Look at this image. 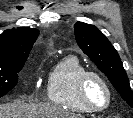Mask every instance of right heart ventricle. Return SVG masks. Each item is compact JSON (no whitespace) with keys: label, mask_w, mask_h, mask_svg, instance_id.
Returning <instances> with one entry per match:
<instances>
[{"label":"right heart ventricle","mask_w":133,"mask_h":118,"mask_svg":"<svg viewBox=\"0 0 133 118\" xmlns=\"http://www.w3.org/2000/svg\"><path fill=\"white\" fill-rule=\"evenodd\" d=\"M86 71V67L76 56L69 55L60 59L48 75V100L76 113H90L79 96V80Z\"/></svg>","instance_id":"1"}]
</instances>
